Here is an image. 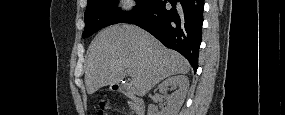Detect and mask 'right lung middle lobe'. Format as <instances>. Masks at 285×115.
I'll return each instance as SVG.
<instances>
[{"label":"right lung middle lobe","instance_id":"right-lung-middle-lobe-1","mask_svg":"<svg viewBox=\"0 0 285 115\" xmlns=\"http://www.w3.org/2000/svg\"><path fill=\"white\" fill-rule=\"evenodd\" d=\"M133 11L126 12L117 8V0H89L85 11V30L82 37L87 38L100 29L122 23L134 13L153 4L155 0H137Z\"/></svg>","mask_w":285,"mask_h":115}]
</instances>
